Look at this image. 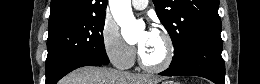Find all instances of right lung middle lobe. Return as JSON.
I'll list each match as a JSON object with an SVG mask.
<instances>
[{
    "label": "right lung middle lobe",
    "mask_w": 260,
    "mask_h": 84,
    "mask_svg": "<svg viewBox=\"0 0 260 84\" xmlns=\"http://www.w3.org/2000/svg\"><path fill=\"white\" fill-rule=\"evenodd\" d=\"M105 13L49 29L46 83L52 84L69 66L82 61L108 64L103 28Z\"/></svg>",
    "instance_id": "1"
}]
</instances>
